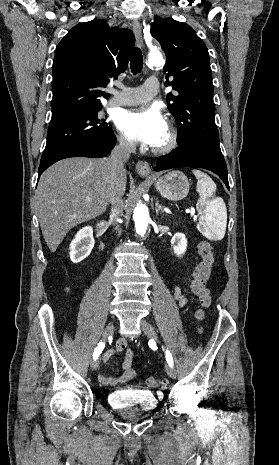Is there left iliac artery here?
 I'll return each instance as SVG.
<instances>
[{
	"label": "left iliac artery",
	"mask_w": 279,
	"mask_h": 465,
	"mask_svg": "<svg viewBox=\"0 0 279 465\" xmlns=\"http://www.w3.org/2000/svg\"><path fill=\"white\" fill-rule=\"evenodd\" d=\"M165 353H166V360H167L168 364L170 366H173V358H172L171 353L168 350H166Z\"/></svg>",
	"instance_id": "left-iliac-artery-1"
}]
</instances>
